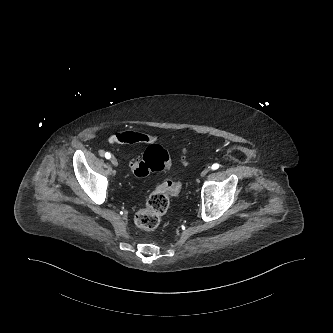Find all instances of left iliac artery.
I'll return each instance as SVG.
<instances>
[{"instance_id":"obj_1","label":"left iliac artery","mask_w":333,"mask_h":333,"mask_svg":"<svg viewBox=\"0 0 333 333\" xmlns=\"http://www.w3.org/2000/svg\"><path fill=\"white\" fill-rule=\"evenodd\" d=\"M218 168H219V164L218 163L213 164L212 167H211L212 170H216Z\"/></svg>"}]
</instances>
